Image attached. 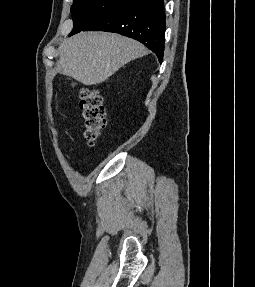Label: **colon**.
I'll list each match as a JSON object with an SVG mask.
<instances>
[{
    "label": "colon",
    "instance_id": "5ec220e1",
    "mask_svg": "<svg viewBox=\"0 0 255 287\" xmlns=\"http://www.w3.org/2000/svg\"><path fill=\"white\" fill-rule=\"evenodd\" d=\"M80 110L84 126V138L94 146L106 126V111L100 93L96 89L80 90Z\"/></svg>",
    "mask_w": 255,
    "mask_h": 287
}]
</instances>
